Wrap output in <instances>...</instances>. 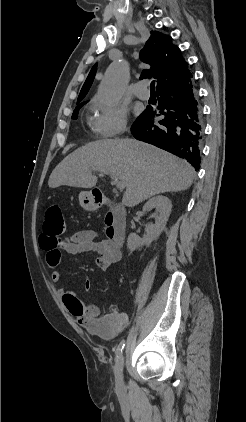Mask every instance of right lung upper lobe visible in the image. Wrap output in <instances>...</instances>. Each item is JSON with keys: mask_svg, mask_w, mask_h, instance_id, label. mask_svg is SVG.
I'll use <instances>...</instances> for the list:
<instances>
[{"mask_svg": "<svg viewBox=\"0 0 246 422\" xmlns=\"http://www.w3.org/2000/svg\"><path fill=\"white\" fill-rule=\"evenodd\" d=\"M140 59L151 65L150 69L143 70L140 79L153 76L157 79V90L191 75L188 63L181 56L180 49L172 44L171 37L157 31H151L150 38L141 50ZM95 73L96 65L92 67L83 84L78 96L77 106L87 102L80 103L91 87Z\"/></svg>", "mask_w": 246, "mask_h": 422, "instance_id": "right-lung-upper-lobe-1", "label": "right lung upper lobe"}]
</instances>
